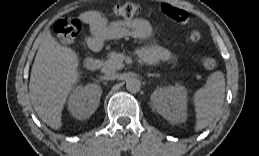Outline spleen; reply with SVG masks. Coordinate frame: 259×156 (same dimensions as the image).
I'll return each instance as SVG.
<instances>
[{"instance_id": "1", "label": "spleen", "mask_w": 259, "mask_h": 156, "mask_svg": "<svg viewBox=\"0 0 259 156\" xmlns=\"http://www.w3.org/2000/svg\"><path fill=\"white\" fill-rule=\"evenodd\" d=\"M225 97V77L221 71L213 72L206 85L197 90L193 96L196 112L195 130L208 126L219 114Z\"/></svg>"}]
</instances>
